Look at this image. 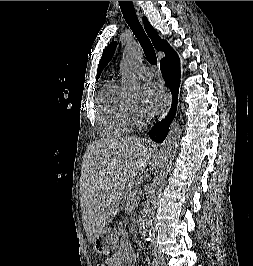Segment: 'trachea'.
I'll list each match as a JSON object with an SVG mask.
<instances>
[{
	"mask_svg": "<svg viewBox=\"0 0 253 266\" xmlns=\"http://www.w3.org/2000/svg\"><path fill=\"white\" fill-rule=\"evenodd\" d=\"M118 2L123 17L125 18L130 29L133 31L135 37L139 41L146 56V59L149 61L150 64L156 65L157 57L154 47L138 20L133 2L132 1H118Z\"/></svg>",
	"mask_w": 253,
	"mask_h": 266,
	"instance_id": "obj_1",
	"label": "trachea"
}]
</instances>
